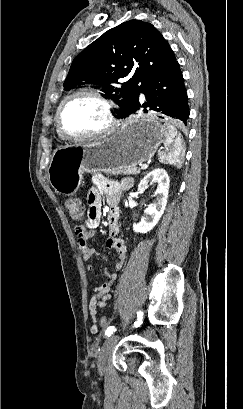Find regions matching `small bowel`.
I'll return each instance as SVG.
<instances>
[{"mask_svg": "<svg viewBox=\"0 0 243 409\" xmlns=\"http://www.w3.org/2000/svg\"><path fill=\"white\" fill-rule=\"evenodd\" d=\"M133 185V180L127 178L121 182H111L102 177H96L92 183L91 190L88 194V210L86 215V226L90 229L84 237H79L78 243L83 261L87 264L88 270L93 271V266L90 264V259L97 252L88 246V241L94 237V229L99 226L102 208L105 206L108 211V222L110 228V235L106 241V246L117 255L115 263L116 271L123 269L126 260V246L124 241L117 236L118 225L117 220L119 211L117 208L118 201L123 193L130 189ZM105 274L108 277L107 281L93 290V294L89 301V315L91 318V333L96 334L97 314L98 309L105 307L111 299L110 291L116 281L117 275L114 272H109L105 269Z\"/></svg>", "mask_w": 243, "mask_h": 409, "instance_id": "obj_1", "label": "small bowel"}]
</instances>
